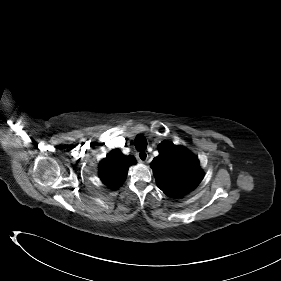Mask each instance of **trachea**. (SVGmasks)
<instances>
[{
  "label": "trachea",
  "mask_w": 281,
  "mask_h": 281,
  "mask_svg": "<svg viewBox=\"0 0 281 281\" xmlns=\"http://www.w3.org/2000/svg\"><path fill=\"white\" fill-rule=\"evenodd\" d=\"M135 147L138 151L145 150L147 147V140L143 135H138L134 141Z\"/></svg>",
  "instance_id": "obj_1"
}]
</instances>
